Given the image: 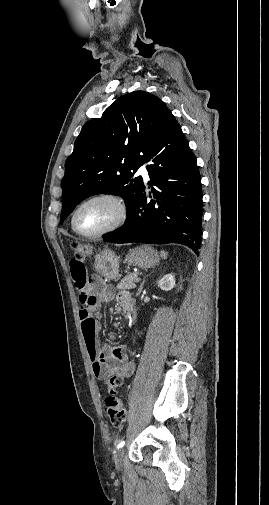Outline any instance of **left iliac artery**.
<instances>
[{
  "mask_svg": "<svg viewBox=\"0 0 269 505\" xmlns=\"http://www.w3.org/2000/svg\"><path fill=\"white\" fill-rule=\"evenodd\" d=\"M124 445H125V441H121V442L117 445V449H121Z\"/></svg>",
  "mask_w": 269,
  "mask_h": 505,
  "instance_id": "1",
  "label": "left iliac artery"
}]
</instances>
